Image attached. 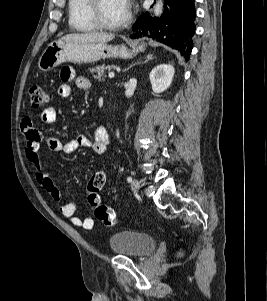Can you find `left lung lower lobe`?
Wrapping results in <instances>:
<instances>
[{
	"mask_svg": "<svg viewBox=\"0 0 267 301\" xmlns=\"http://www.w3.org/2000/svg\"><path fill=\"white\" fill-rule=\"evenodd\" d=\"M196 12L194 0H165L164 12L160 18H151L148 13L133 25L131 38L148 37L167 44L189 59L194 35Z\"/></svg>",
	"mask_w": 267,
	"mask_h": 301,
	"instance_id": "1",
	"label": "left lung lower lobe"
}]
</instances>
